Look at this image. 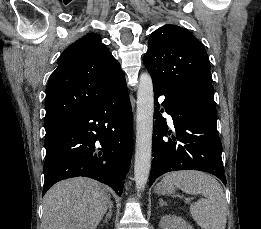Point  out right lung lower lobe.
Instances as JSON below:
<instances>
[{
  "label": "right lung lower lobe",
  "instance_id": "1",
  "mask_svg": "<svg viewBox=\"0 0 261 229\" xmlns=\"http://www.w3.org/2000/svg\"><path fill=\"white\" fill-rule=\"evenodd\" d=\"M131 104L126 83L99 103L46 135L43 195L56 182L89 177L119 196L133 147Z\"/></svg>",
  "mask_w": 261,
  "mask_h": 229
}]
</instances>
